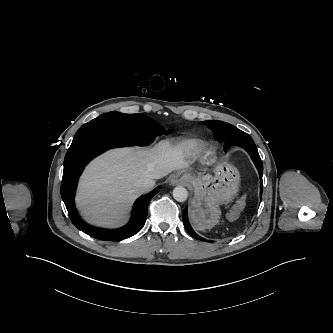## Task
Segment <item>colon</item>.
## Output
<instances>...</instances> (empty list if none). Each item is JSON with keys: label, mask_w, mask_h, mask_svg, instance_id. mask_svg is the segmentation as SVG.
<instances>
[{"label": "colon", "mask_w": 333, "mask_h": 333, "mask_svg": "<svg viewBox=\"0 0 333 333\" xmlns=\"http://www.w3.org/2000/svg\"><path fill=\"white\" fill-rule=\"evenodd\" d=\"M246 202H247V196L244 195L237 201L235 206L228 213L229 219L237 218L241 210L245 207Z\"/></svg>", "instance_id": "colon-1"}]
</instances>
